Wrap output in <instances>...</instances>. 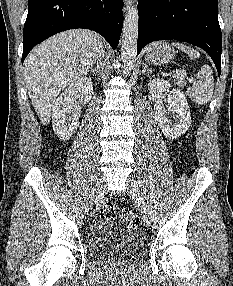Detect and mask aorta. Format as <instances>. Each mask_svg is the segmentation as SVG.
I'll return each mask as SVG.
<instances>
[{"label":"aorta","mask_w":233,"mask_h":286,"mask_svg":"<svg viewBox=\"0 0 233 286\" xmlns=\"http://www.w3.org/2000/svg\"><path fill=\"white\" fill-rule=\"evenodd\" d=\"M138 10L130 5L124 19L121 45V60L125 65L124 73H130L137 55Z\"/></svg>","instance_id":"1"}]
</instances>
